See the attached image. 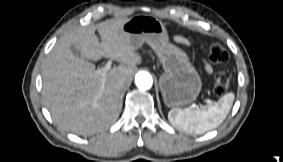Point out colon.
I'll return each instance as SVG.
<instances>
[{"label": "colon", "instance_id": "5ec220e1", "mask_svg": "<svg viewBox=\"0 0 283 162\" xmlns=\"http://www.w3.org/2000/svg\"><path fill=\"white\" fill-rule=\"evenodd\" d=\"M209 58L214 64H223L228 58V52L219 43H214L210 47ZM231 72L222 70L216 73L213 82V91L217 96L224 95L231 86Z\"/></svg>", "mask_w": 283, "mask_h": 162}]
</instances>
